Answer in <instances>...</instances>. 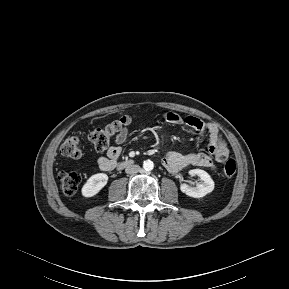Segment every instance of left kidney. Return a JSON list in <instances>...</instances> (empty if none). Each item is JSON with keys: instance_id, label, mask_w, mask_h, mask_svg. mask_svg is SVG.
Listing matches in <instances>:
<instances>
[{"instance_id": "left-kidney-1", "label": "left kidney", "mask_w": 289, "mask_h": 289, "mask_svg": "<svg viewBox=\"0 0 289 289\" xmlns=\"http://www.w3.org/2000/svg\"><path fill=\"white\" fill-rule=\"evenodd\" d=\"M191 176H199L201 179V183L197 184L196 187L189 186L185 183L180 185V190L193 198H201L207 195L208 193L214 190V181L211 176L204 170L201 169H193L189 171Z\"/></svg>"}]
</instances>
